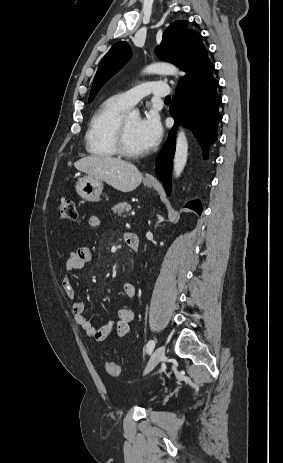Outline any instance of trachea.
Returning <instances> with one entry per match:
<instances>
[{
    "label": "trachea",
    "instance_id": "3493384b",
    "mask_svg": "<svg viewBox=\"0 0 283 463\" xmlns=\"http://www.w3.org/2000/svg\"><path fill=\"white\" fill-rule=\"evenodd\" d=\"M165 100H166V101H170V100H171L170 96H167V97L165 98Z\"/></svg>",
    "mask_w": 283,
    "mask_h": 463
}]
</instances>
